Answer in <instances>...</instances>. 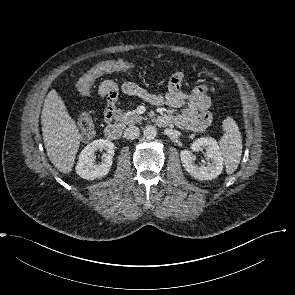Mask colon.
Here are the masks:
<instances>
[{"label":"colon","instance_id":"obj_1","mask_svg":"<svg viewBox=\"0 0 295 295\" xmlns=\"http://www.w3.org/2000/svg\"><path fill=\"white\" fill-rule=\"evenodd\" d=\"M131 67L132 64L123 60H109L99 63L85 74L80 88L83 92H88L91 89L93 82L99 75L113 72H124L129 70ZM182 80L183 76L181 74H175L171 78L172 83L179 85L180 87ZM107 100H109V98ZM79 127L83 135L90 136L93 134L94 122L91 114L85 112L81 115L79 119Z\"/></svg>","mask_w":295,"mask_h":295}]
</instances>
